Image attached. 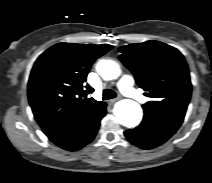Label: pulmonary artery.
I'll use <instances>...</instances> for the list:
<instances>
[{
    "mask_svg": "<svg viewBox=\"0 0 212 183\" xmlns=\"http://www.w3.org/2000/svg\"><path fill=\"white\" fill-rule=\"evenodd\" d=\"M133 85L134 79L130 75H124L117 83L118 88L124 95L140 103H145L147 100L146 97L141 92L137 91Z\"/></svg>",
    "mask_w": 212,
    "mask_h": 183,
    "instance_id": "1",
    "label": "pulmonary artery"
}]
</instances>
